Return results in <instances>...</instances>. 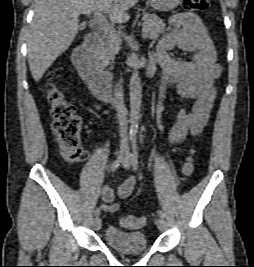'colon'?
<instances>
[{
	"instance_id": "5ec220e1",
	"label": "colon",
	"mask_w": 254,
	"mask_h": 267,
	"mask_svg": "<svg viewBox=\"0 0 254 267\" xmlns=\"http://www.w3.org/2000/svg\"><path fill=\"white\" fill-rule=\"evenodd\" d=\"M184 6L190 11H204L209 6V0H185ZM48 81L46 92L50 103L51 126L62 158L70 164L82 162L87 153L80 142L81 118L76 113L75 106L65 99L53 82L52 74L48 76ZM193 154L194 150H190L182 164V172L185 175H191L194 171ZM146 222L145 217L131 215L121 219V224L129 229L142 228Z\"/></svg>"
}]
</instances>
